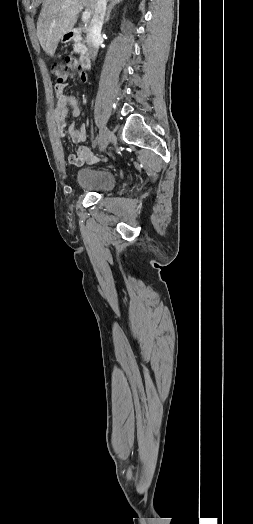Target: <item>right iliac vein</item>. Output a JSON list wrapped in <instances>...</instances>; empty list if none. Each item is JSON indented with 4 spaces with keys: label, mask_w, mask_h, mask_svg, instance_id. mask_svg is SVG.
<instances>
[{
    "label": "right iliac vein",
    "mask_w": 253,
    "mask_h": 524,
    "mask_svg": "<svg viewBox=\"0 0 253 524\" xmlns=\"http://www.w3.org/2000/svg\"><path fill=\"white\" fill-rule=\"evenodd\" d=\"M111 136H112V132L106 127V126H101L100 128V134H99V146H100V150L103 151L107 148L109 142H110V139H111Z\"/></svg>",
    "instance_id": "obj_1"
}]
</instances>
